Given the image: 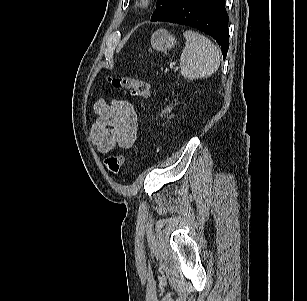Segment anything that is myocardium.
<instances>
[{
    "label": "myocardium",
    "instance_id": "1",
    "mask_svg": "<svg viewBox=\"0 0 307 301\" xmlns=\"http://www.w3.org/2000/svg\"><path fill=\"white\" fill-rule=\"evenodd\" d=\"M154 0H136L135 7L140 11H148L153 6Z\"/></svg>",
    "mask_w": 307,
    "mask_h": 301
}]
</instances>
